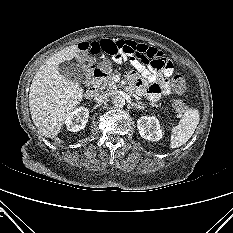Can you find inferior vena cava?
I'll return each mask as SVG.
<instances>
[{
	"instance_id": "602c4592",
	"label": "inferior vena cava",
	"mask_w": 233,
	"mask_h": 233,
	"mask_svg": "<svg viewBox=\"0 0 233 233\" xmlns=\"http://www.w3.org/2000/svg\"><path fill=\"white\" fill-rule=\"evenodd\" d=\"M109 98V93H105V92H99L95 95V102L97 103H103L106 102Z\"/></svg>"
}]
</instances>
